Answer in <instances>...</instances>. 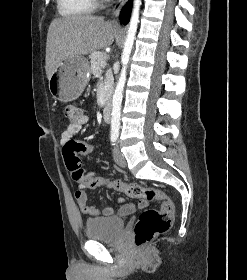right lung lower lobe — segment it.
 <instances>
[{
  "instance_id": "obj_1",
  "label": "right lung lower lobe",
  "mask_w": 247,
  "mask_h": 280,
  "mask_svg": "<svg viewBox=\"0 0 247 280\" xmlns=\"http://www.w3.org/2000/svg\"><path fill=\"white\" fill-rule=\"evenodd\" d=\"M131 8H132V1H130L125 7H123L120 13V19L123 24H127L129 22Z\"/></svg>"
}]
</instances>
